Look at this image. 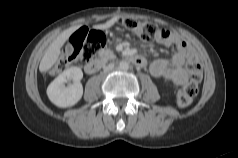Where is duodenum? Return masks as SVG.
Here are the masks:
<instances>
[{
    "label": "duodenum",
    "instance_id": "duodenum-1",
    "mask_svg": "<svg viewBox=\"0 0 238 158\" xmlns=\"http://www.w3.org/2000/svg\"><path fill=\"white\" fill-rule=\"evenodd\" d=\"M127 59L138 67H144L146 65L145 58L139 55H130ZM103 62L104 61L102 59H94L88 62L84 67L85 72L88 74L96 73L101 68Z\"/></svg>",
    "mask_w": 238,
    "mask_h": 158
}]
</instances>
